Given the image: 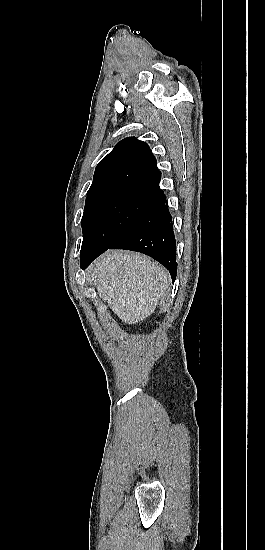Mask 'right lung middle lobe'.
Here are the masks:
<instances>
[{
    "label": "right lung middle lobe",
    "instance_id": "1",
    "mask_svg": "<svg viewBox=\"0 0 265 550\" xmlns=\"http://www.w3.org/2000/svg\"><path fill=\"white\" fill-rule=\"evenodd\" d=\"M159 192V187H129L86 199L80 258L112 245L145 213Z\"/></svg>",
    "mask_w": 265,
    "mask_h": 550
}]
</instances>
